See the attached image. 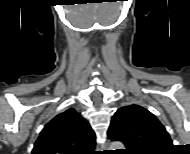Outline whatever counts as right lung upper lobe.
Returning <instances> with one entry per match:
<instances>
[{"mask_svg": "<svg viewBox=\"0 0 190 154\" xmlns=\"http://www.w3.org/2000/svg\"><path fill=\"white\" fill-rule=\"evenodd\" d=\"M95 148V133L73 108L48 122L34 144L32 154H90Z\"/></svg>", "mask_w": 190, "mask_h": 154, "instance_id": "cb5924a9", "label": "right lung upper lobe"}]
</instances>
